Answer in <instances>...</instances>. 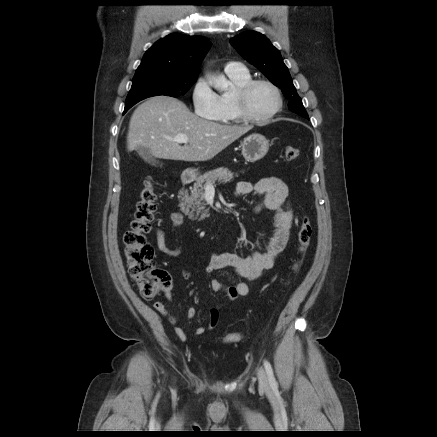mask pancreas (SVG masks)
I'll return each instance as SVG.
<instances>
[{
    "mask_svg": "<svg viewBox=\"0 0 437 437\" xmlns=\"http://www.w3.org/2000/svg\"><path fill=\"white\" fill-rule=\"evenodd\" d=\"M233 173L227 168H217L206 172L196 178V181L189 195L187 192L182 193L181 208L185 214L192 220H203L209 217L208 209H205V193L204 190L208 184L215 182L227 183L233 179Z\"/></svg>",
    "mask_w": 437,
    "mask_h": 437,
    "instance_id": "1",
    "label": "pancreas"
}]
</instances>
